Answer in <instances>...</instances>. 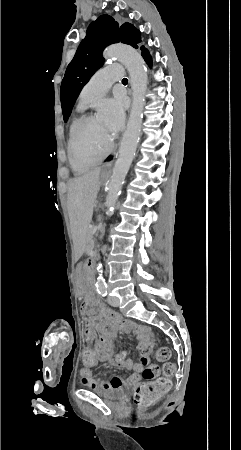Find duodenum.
Here are the masks:
<instances>
[{"mask_svg":"<svg viewBox=\"0 0 241 450\" xmlns=\"http://www.w3.org/2000/svg\"><path fill=\"white\" fill-rule=\"evenodd\" d=\"M86 268V287L89 292L94 288V260L88 259L85 263Z\"/></svg>","mask_w":241,"mask_h":450,"instance_id":"1","label":"duodenum"}]
</instances>
